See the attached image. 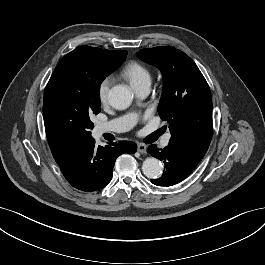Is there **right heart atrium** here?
<instances>
[{
	"mask_svg": "<svg viewBox=\"0 0 265 265\" xmlns=\"http://www.w3.org/2000/svg\"><path fill=\"white\" fill-rule=\"evenodd\" d=\"M111 85H112V79L110 77L102 79L101 82L99 83L98 98L101 103H105L107 101Z\"/></svg>",
	"mask_w": 265,
	"mask_h": 265,
	"instance_id": "d8ad5b80",
	"label": "right heart atrium"
}]
</instances>
